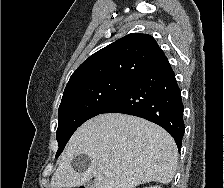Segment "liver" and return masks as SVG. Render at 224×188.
Listing matches in <instances>:
<instances>
[{
	"mask_svg": "<svg viewBox=\"0 0 224 188\" xmlns=\"http://www.w3.org/2000/svg\"><path fill=\"white\" fill-rule=\"evenodd\" d=\"M81 154L91 163L77 171L72 161ZM177 160L176 143L162 127L135 116L102 114L75 131L52 176L51 188L79 187L92 177L95 188H135L151 181L168 184Z\"/></svg>",
	"mask_w": 224,
	"mask_h": 188,
	"instance_id": "1",
	"label": "liver"
}]
</instances>
